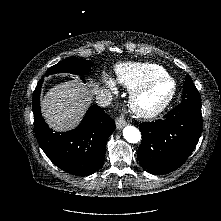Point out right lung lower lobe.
Masks as SVG:
<instances>
[{"mask_svg": "<svg viewBox=\"0 0 221 221\" xmlns=\"http://www.w3.org/2000/svg\"><path fill=\"white\" fill-rule=\"evenodd\" d=\"M84 81V80H83ZM41 79L33 93L34 129L47 157L62 170L88 176L96 172L105 157L106 142L115 130V122L104 109L92 105L81 124L72 131L56 133L48 128L40 111Z\"/></svg>", "mask_w": 221, "mask_h": 221, "instance_id": "1", "label": "right lung lower lobe"}]
</instances>
